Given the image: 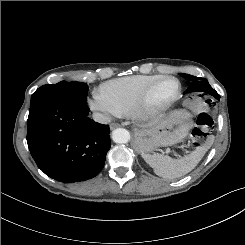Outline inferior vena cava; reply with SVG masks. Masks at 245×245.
<instances>
[{
  "instance_id": "obj_1",
  "label": "inferior vena cava",
  "mask_w": 245,
  "mask_h": 245,
  "mask_svg": "<svg viewBox=\"0 0 245 245\" xmlns=\"http://www.w3.org/2000/svg\"><path fill=\"white\" fill-rule=\"evenodd\" d=\"M93 119L96 122L102 123V124H108L110 122V118L104 114L101 113H93Z\"/></svg>"
}]
</instances>
